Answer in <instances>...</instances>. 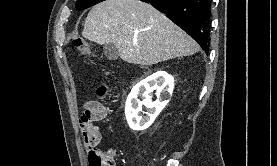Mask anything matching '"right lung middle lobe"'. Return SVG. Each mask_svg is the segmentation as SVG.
I'll use <instances>...</instances> for the list:
<instances>
[{
    "mask_svg": "<svg viewBox=\"0 0 277 166\" xmlns=\"http://www.w3.org/2000/svg\"><path fill=\"white\" fill-rule=\"evenodd\" d=\"M104 0H77L76 2V9L77 10H84L91 6H94L97 3H100Z\"/></svg>",
    "mask_w": 277,
    "mask_h": 166,
    "instance_id": "right-lung-middle-lobe-1",
    "label": "right lung middle lobe"
}]
</instances>
